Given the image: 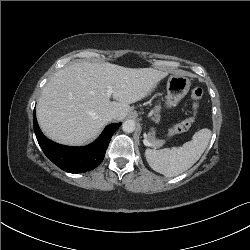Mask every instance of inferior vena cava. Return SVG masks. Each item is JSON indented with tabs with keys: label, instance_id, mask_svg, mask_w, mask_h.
<instances>
[{
	"label": "inferior vena cava",
	"instance_id": "inferior-vena-cava-1",
	"mask_svg": "<svg viewBox=\"0 0 250 250\" xmlns=\"http://www.w3.org/2000/svg\"><path fill=\"white\" fill-rule=\"evenodd\" d=\"M115 116H116L115 112L110 111V112L107 113L106 118H107L109 121H111L112 119L115 118Z\"/></svg>",
	"mask_w": 250,
	"mask_h": 250
}]
</instances>
